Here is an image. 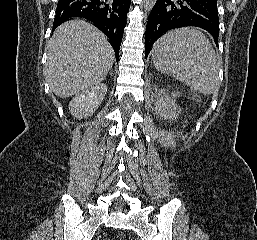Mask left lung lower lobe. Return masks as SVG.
<instances>
[{
  "label": "left lung lower lobe",
  "mask_w": 257,
  "mask_h": 240,
  "mask_svg": "<svg viewBox=\"0 0 257 240\" xmlns=\"http://www.w3.org/2000/svg\"><path fill=\"white\" fill-rule=\"evenodd\" d=\"M189 26L206 30L217 44V0H156L146 26V57L155 41L165 32Z\"/></svg>",
  "instance_id": "left-lung-lower-lobe-1"
}]
</instances>
